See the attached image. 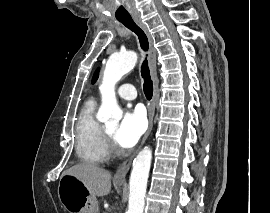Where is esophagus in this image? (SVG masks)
Masks as SVG:
<instances>
[{
	"label": "esophagus",
	"instance_id": "obj_1",
	"mask_svg": "<svg viewBox=\"0 0 270 213\" xmlns=\"http://www.w3.org/2000/svg\"><path fill=\"white\" fill-rule=\"evenodd\" d=\"M134 21L145 32L149 40L148 62H149L150 70H151L154 89H153L152 101L148 109V121H149L148 129L141 141L139 148L131 156H129L126 160H124L117 168V171L113 178L115 182H125V177L130 169L133 158L135 157L138 150L142 147V145L145 143L146 139L150 135L152 127H153L155 105L158 99V79H157V74H156V68H157L156 50L154 48V42H153L152 36L149 33L147 25L142 21L141 17H134Z\"/></svg>",
	"mask_w": 270,
	"mask_h": 213
}]
</instances>
